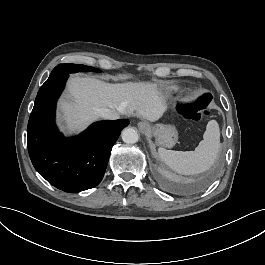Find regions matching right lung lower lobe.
Returning a JSON list of instances; mask_svg holds the SVG:
<instances>
[{
  "label": "right lung lower lobe",
  "instance_id": "obj_1",
  "mask_svg": "<svg viewBox=\"0 0 265 265\" xmlns=\"http://www.w3.org/2000/svg\"><path fill=\"white\" fill-rule=\"evenodd\" d=\"M67 78L68 74L48 78L38 91L27 127L28 152L43 178L60 190L75 193L100 183L112 146L129 120L96 122L76 137H64L54 119Z\"/></svg>",
  "mask_w": 265,
  "mask_h": 265
}]
</instances>
